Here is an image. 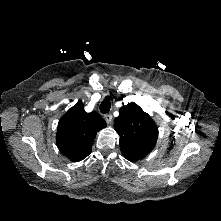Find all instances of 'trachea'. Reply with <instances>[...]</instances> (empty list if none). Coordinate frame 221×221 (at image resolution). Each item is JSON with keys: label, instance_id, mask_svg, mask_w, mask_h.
<instances>
[{"label": "trachea", "instance_id": "obj_1", "mask_svg": "<svg viewBox=\"0 0 221 221\" xmlns=\"http://www.w3.org/2000/svg\"><path fill=\"white\" fill-rule=\"evenodd\" d=\"M111 108V102L109 99H104L100 104V112L105 114L110 111Z\"/></svg>", "mask_w": 221, "mask_h": 221}]
</instances>
